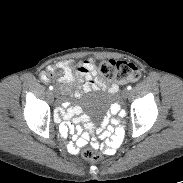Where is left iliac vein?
Instances as JSON below:
<instances>
[{
	"label": "left iliac vein",
	"mask_w": 183,
	"mask_h": 183,
	"mask_svg": "<svg viewBox=\"0 0 183 183\" xmlns=\"http://www.w3.org/2000/svg\"><path fill=\"white\" fill-rule=\"evenodd\" d=\"M128 96H129V90L124 89V90L122 91V97H123L124 99H126Z\"/></svg>",
	"instance_id": "obj_1"
}]
</instances>
